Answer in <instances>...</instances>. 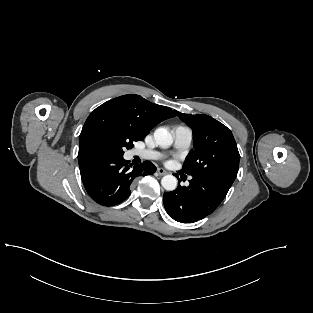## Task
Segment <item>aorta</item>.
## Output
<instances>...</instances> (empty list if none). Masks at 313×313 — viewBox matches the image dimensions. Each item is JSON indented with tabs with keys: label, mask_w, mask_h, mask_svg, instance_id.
<instances>
[{
	"label": "aorta",
	"mask_w": 313,
	"mask_h": 313,
	"mask_svg": "<svg viewBox=\"0 0 313 313\" xmlns=\"http://www.w3.org/2000/svg\"><path fill=\"white\" fill-rule=\"evenodd\" d=\"M154 139L156 143L162 147L167 148L172 145L173 137L165 128H158L154 132ZM161 185L167 191H173L177 187V179L173 175H165L161 180Z\"/></svg>",
	"instance_id": "obj_1"
}]
</instances>
